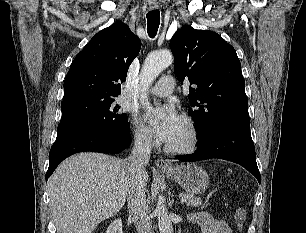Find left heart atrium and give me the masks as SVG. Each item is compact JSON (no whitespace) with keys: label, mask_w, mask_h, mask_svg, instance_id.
<instances>
[{"label":"left heart atrium","mask_w":306,"mask_h":233,"mask_svg":"<svg viewBox=\"0 0 306 233\" xmlns=\"http://www.w3.org/2000/svg\"><path fill=\"white\" fill-rule=\"evenodd\" d=\"M144 118L157 138L166 143L172 139L183 121L182 116L171 105L151 109L145 113Z\"/></svg>","instance_id":"left-heart-atrium-1"}]
</instances>
